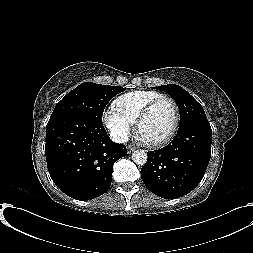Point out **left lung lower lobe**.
Returning a JSON list of instances; mask_svg holds the SVG:
<instances>
[{"label":"left lung lower lobe","mask_w":253,"mask_h":253,"mask_svg":"<svg viewBox=\"0 0 253 253\" xmlns=\"http://www.w3.org/2000/svg\"><path fill=\"white\" fill-rule=\"evenodd\" d=\"M212 129L207 118L180 125L177 135L161 150L148 151L141 169L145 186L166 199L191 192L202 180L211 156Z\"/></svg>","instance_id":"obj_1"}]
</instances>
